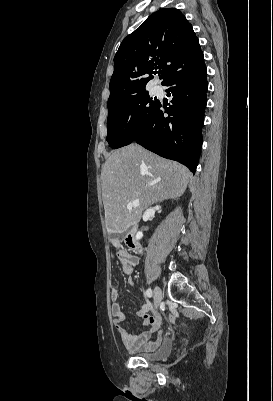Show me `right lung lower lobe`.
Here are the masks:
<instances>
[{"label": "right lung lower lobe", "mask_w": 273, "mask_h": 401, "mask_svg": "<svg viewBox=\"0 0 273 401\" xmlns=\"http://www.w3.org/2000/svg\"><path fill=\"white\" fill-rule=\"evenodd\" d=\"M204 59L178 67L163 84L173 96L169 107L159 102L152 118L137 132L133 142L195 172L201 152V127L208 89ZM164 113L169 116L164 117ZM171 116V117H170Z\"/></svg>", "instance_id": "1"}]
</instances>
